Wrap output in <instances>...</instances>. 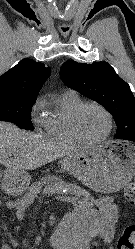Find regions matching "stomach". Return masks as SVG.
Returning <instances> with one entry per match:
<instances>
[{"label":"stomach","mask_w":135,"mask_h":249,"mask_svg":"<svg viewBox=\"0 0 135 249\" xmlns=\"http://www.w3.org/2000/svg\"><path fill=\"white\" fill-rule=\"evenodd\" d=\"M61 164L87 187L102 193L124 188L135 175V146L128 142L108 141L66 156ZM17 190H23L29 177L22 171H9Z\"/></svg>","instance_id":"1"}]
</instances>
